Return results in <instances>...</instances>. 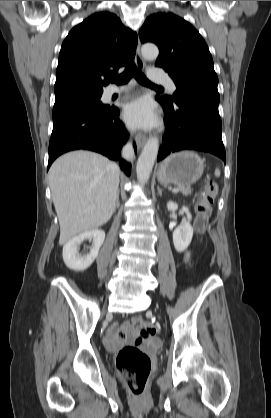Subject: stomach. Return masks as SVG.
I'll return each instance as SVG.
<instances>
[{
    "label": "stomach",
    "instance_id": "obj_1",
    "mask_svg": "<svg viewBox=\"0 0 271 418\" xmlns=\"http://www.w3.org/2000/svg\"><path fill=\"white\" fill-rule=\"evenodd\" d=\"M204 162L198 154L182 151L171 154L159 166L158 181L164 185L189 186L200 179Z\"/></svg>",
    "mask_w": 271,
    "mask_h": 418
}]
</instances>
